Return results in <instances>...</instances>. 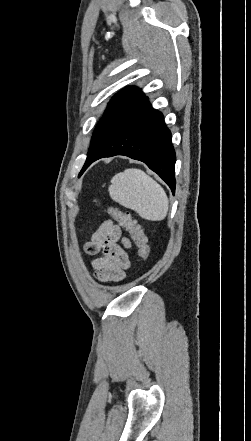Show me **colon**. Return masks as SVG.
Returning a JSON list of instances; mask_svg holds the SVG:
<instances>
[{
	"label": "colon",
	"mask_w": 251,
	"mask_h": 441,
	"mask_svg": "<svg viewBox=\"0 0 251 441\" xmlns=\"http://www.w3.org/2000/svg\"><path fill=\"white\" fill-rule=\"evenodd\" d=\"M98 204L102 205L100 201H98ZM103 206L105 211L132 235L139 249L140 257L143 260H147L150 254V247L137 221L128 212H123L117 207L112 205Z\"/></svg>",
	"instance_id": "1"
}]
</instances>
